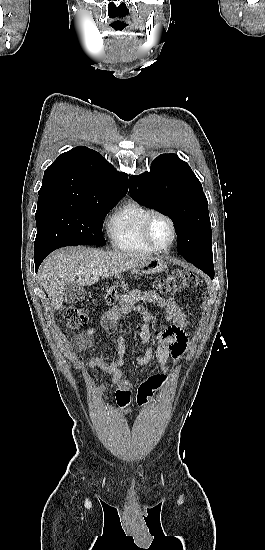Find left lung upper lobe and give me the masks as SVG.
Masks as SVG:
<instances>
[{
  "mask_svg": "<svg viewBox=\"0 0 265 550\" xmlns=\"http://www.w3.org/2000/svg\"><path fill=\"white\" fill-rule=\"evenodd\" d=\"M131 197L167 215L177 229L178 252L184 259L212 253L208 202L190 166L175 154L157 157L150 172L129 176Z\"/></svg>",
  "mask_w": 265,
  "mask_h": 550,
  "instance_id": "obj_1",
  "label": "left lung upper lobe"
}]
</instances>
